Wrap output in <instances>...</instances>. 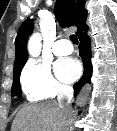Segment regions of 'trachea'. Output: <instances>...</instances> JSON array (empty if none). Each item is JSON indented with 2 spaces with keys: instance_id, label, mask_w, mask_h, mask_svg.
<instances>
[{
  "instance_id": "obj_1",
  "label": "trachea",
  "mask_w": 117,
  "mask_h": 131,
  "mask_svg": "<svg viewBox=\"0 0 117 131\" xmlns=\"http://www.w3.org/2000/svg\"><path fill=\"white\" fill-rule=\"evenodd\" d=\"M70 40L74 43V44H78V38L76 35H71L70 36Z\"/></svg>"
}]
</instances>
